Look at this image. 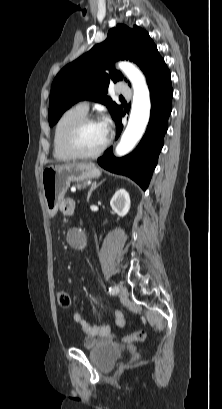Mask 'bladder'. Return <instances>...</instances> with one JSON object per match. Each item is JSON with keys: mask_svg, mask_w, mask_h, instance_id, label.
<instances>
[{"mask_svg": "<svg viewBox=\"0 0 222 409\" xmlns=\"http://www.w3.org/2000/svg\"><path fill=\"white\" fill-rule=\"evenodd\" d=\"M124 349L113 342L98 344L89 350V356L96 368L103 372L112 369L115 361L122 355Z\"/></svg>", "mask_w": 222, "mask_h": 409, "instance_id": "obj_1", "label": "bladder"}]
</instances>
